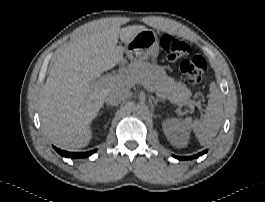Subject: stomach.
Instances as JSON below:
<instances>
[{"instance_id": "0dacf381", "label": "stomach", "mask_w": 265, "mask_h": 202, "mask_svg": "<svg viewBox=\"0 0 265 202\" xmlns=\"http://www.w3.org/2000/svg\"><path fill=\"white\" fill-rule=\"evenodd\" d=\"M125 50L128 58L134 63L142 62L148 57L155 61L159 52L157 34L151 29L142 30L125 45Z\"/></svg>"}]
</instances>
